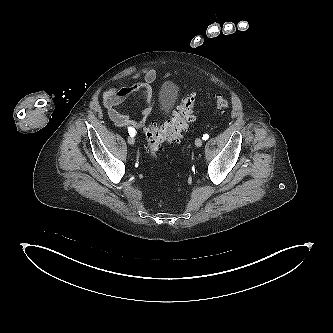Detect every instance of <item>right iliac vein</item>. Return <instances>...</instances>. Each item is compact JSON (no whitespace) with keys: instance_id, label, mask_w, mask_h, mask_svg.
<instances>
[{"instance_id":"63e3f726","label":"right iliac vein","mask_w":333,"mask_h":333,"mask_svg":"<svg viewBox=\"0 0 333 333\" xmlns=\"http://www.w3.org/2000/svg\"><path fill=\"white\" fill-rule=\"evenodd\" d=\"M127 141L130 145H134V143H135V140L132 136L128 137Z\"/></svg>"}]
</instances>
